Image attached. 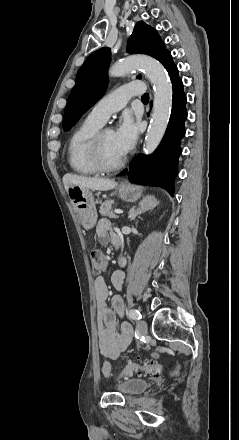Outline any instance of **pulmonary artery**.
<instances>
[{
  "mask_svg": "<svg viewBox=\"0 0 239 440\" xmlns=\"http://www.w3.org/2000/svg\"><path fill=\"white\" fill-rule=\"evenodd\" d=\"M144 89V85L139 81L123 85L119 89L101 98L92 107L88 117L102 125L113 112L122 109L131 96L141 94Z\"/></svg>",
  "mask_w": 239,
  "mask_h": 440,
  "instance_id": "e3ab8cb5",
  "label": "pulmonary artery"
}]
</instances>
